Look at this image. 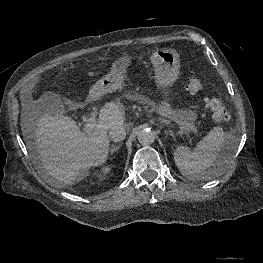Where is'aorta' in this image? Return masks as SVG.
I'll use <instances>...</instances> for the list:
<instances>
[{
    "label": "aorta",
    "instance_id": "aorta-1",
    "mask_svg": "<svg viewBox=\"0 0 263 263\" xmlns=\"http://www.w3.org/2000/svg\"><path fill=\"white\" fill-rule=\"evenodd\" d=\"M155 132L150 129H143L138 133V141L144 146L150 145L155 141Z\"/></svg>",
    "mask_w": 263,
    "mask_h": 263
}]
</instances>
